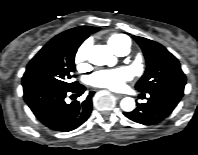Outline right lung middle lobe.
I'll use <instances>...</instances> for the list:
<instances>
[{
	"label": "right lung middle lobe",
	"instance_id": "right-lung-middle-lobe-1",
	"mask_svg": "<svg viewBox=\"0 0 198 155\" xmlns=\"http://www.w3.org/2000/svg\"><path fill=\"white\" fill-rule=\"evenodd\" d=\"M83 39L49 41L29 62L22 78L23 87L31 85H54L72 88L78 82H71L75 70L74 58Z\"/></svg>",
	"mask_w": 198,
	"mask_h": 155
}]
</instances>
